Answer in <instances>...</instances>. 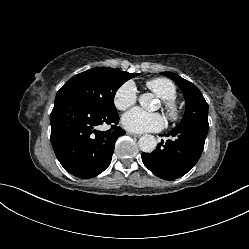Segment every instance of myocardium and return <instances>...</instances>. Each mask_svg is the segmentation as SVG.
Segmentation results:
<instances>
[{
    "label": "myocardium",
    "instance_id": "f54148a6",
    "mask_svg": "<svg viewBox=\"0 0 249 249\" xmlns=\"http://www.w3.org/2000/svg\"><path fill=\"white\" fill-rule=\"evenodd\" d=\"M162 108L171 122H176L181 118V110L175 101L162 100Z\"/></svg>",
    "mask_w": 249,
    "mask_h": 249
}]
</instances>
